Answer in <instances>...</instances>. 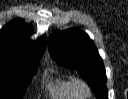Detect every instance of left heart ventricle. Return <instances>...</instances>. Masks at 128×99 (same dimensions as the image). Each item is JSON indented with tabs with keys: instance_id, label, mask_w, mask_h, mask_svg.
<instances>
[{
	"instance_id": "obj_1",
	"label": "left heart ventricle",
	"mask_w": 128,
	"mask_h": 99,
	"mask_svg": "<svg viewBox=\"0 0 128 99\" xmlns=\"http://www.w3.org/2000/svg\"><path fill=\"white\" fill-rule=\"evenodd\" d=\"M80 92H81L82 94H84V93H85V91H84L83 89H81V90H80Z\"/></svg>"
}]
</instances>
